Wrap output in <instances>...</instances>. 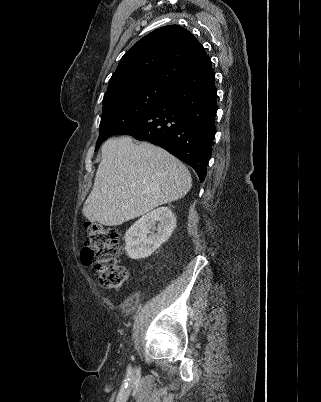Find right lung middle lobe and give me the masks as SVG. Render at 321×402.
Returning a JSON list of instances; mask_svg holds the SVG:
<instances>
[{"instance_id": "dd1d6c3e", "label": "right lung middle lobe", "mask_w": 321, "mask_h": 402, "mask_svg": "<svg viewBox=\"0 0 321 402\" xmlns=\"http://www.w3.org/2000/svg\"><path fill=\"white\" fill-rule=\"evenodd\" d=\"M167 93L166 85L147 84L105 97L95 150L110 136L152 111L166 99Z\"/></svg>"}]
</instances>
